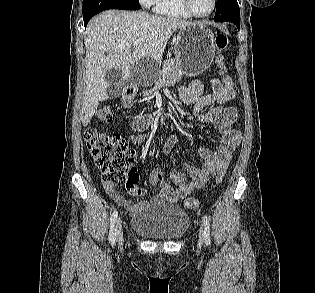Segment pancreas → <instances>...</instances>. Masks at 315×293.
Segmentation results:
<instances>
[{"instance_id": "cf45deb5", "label": "pancreas", "mask_w": 315, "mask_h": 293, "mask_svg": "<svg viewBox=\"0 0 315 293\" xmlns=\"http://www.w3.org/2000/svg\"><path fill=\"white\" fill-rule=\"evenodd\" d=\"M182 76L183 70L180 65V60L178 58L168 60L163 64L162 70L155 81V87L149 91H144L143 94L149 95L155 89H159L163 86L173 85L174 83L178 82Z\"/></svg>"}]
</instances>
